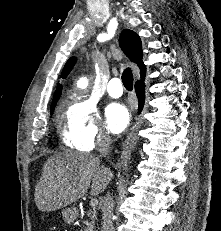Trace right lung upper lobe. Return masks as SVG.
<instances>
[{
    "instance_id": "obj_1",
    "label": "right lung upper lobe",
    "mask_w": 221,
    "mask_h": 231,
    "mask_svg": "<svg viewBox=\"0 0 221 231\" xmlns=\"http://www.w3.org/2000/svg\"><path fill=\"white\" fill-rule=\"evenodd\" d=\"M119 44L125 55L130 59V61L138 65V67L140 68L141 79L144 80L146 74V66L142 61L143 58L142 44L138 34L132 30L124 29L120 35ZM75 62L76 59L74 57L68 60L62 71L61 76L63 78H66L68 76ZM61 91H62V86L58 84L52 101V106L56 105V102L58 101L61 95Z\"/></svg>"
}]
</instances>
